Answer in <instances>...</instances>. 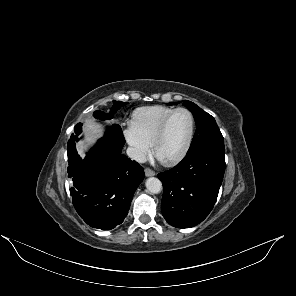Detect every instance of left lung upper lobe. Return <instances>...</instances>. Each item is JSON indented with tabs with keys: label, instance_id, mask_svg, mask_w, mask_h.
Segmentation results:
<instances>
[{
	"label": "left lung upper lobe",
	"instance_id": "obj_1",
	"mask_svg": "<svg viewBox=\"0 0 296 296\" xmlns=\"http://www.w3.org/2000/svg\"><path fill=\"white\" fill-rule=\"evenodd\" d=\"M183 104L192 112L197 127L187 154L211 144L224 142L216 121L210 114L203 111L193 102L184 101Z\"/></svg>",
	"mask_w": 296,
	"mask_h": 296
}]
</instances>
